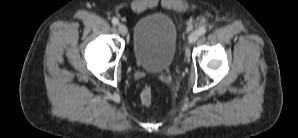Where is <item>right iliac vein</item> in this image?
I'll use <instances>...</instances> for the list:
<instances>
[{
	"mask_svg": "<svg viewBox=\"0 0 298 138\" xmlns=\"http://www.w3.org/2000/svg\"><path fill=\"white\" fill-rule=\"evenodd\" d=\"M118 30H119L120 34L123 36H125L128 32L126 25H124L122 23L118 25Z\"/></svg>",
	"mask_w": 298,
	"mask_h": 138,
	"instance_id": "1",
	"label": "right iliac vein"
}]
</instances>
